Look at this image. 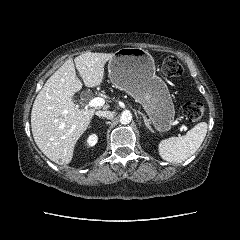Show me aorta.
Here are the masks:
<instances>
[{
  "label": "aorta",
  "instance_id": "1",
  "mask_svg": "<svg viewBox=\"0 0 240 240\" xmlns=\"http://www.w3.org/2000/svg\"><path fill=\"white\" fill-rule=\"evenodd\" d=\"M132 120V114L130 111H124L120 116L121 124H129Z\"/></svg>",
  "mask_w": 240,
  "mask_h": 240
}]
</instances>
